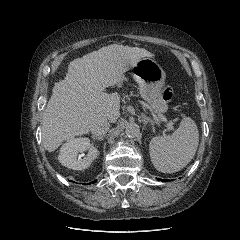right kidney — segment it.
I'll return each mask as SVG.
<instances>
[{
    "label": "right kidney",
    "mask_w": 240,
    "mask_h": 240,
    "mask_svg": "<svg viewBox=\"0 0 240 240\" xmlns=\"http://www.w3.org/2000/svg\"><path fill=\"white\" fill-rule=\"evenodd\" d=\"M88 150V155L79 158L78 153ZM99 151L91 145L88 138H73L62 145L58 155L59 162L73 170H84L97 158Z\"/></svg>",
    "instance_id": "1"
}]
</instances>
